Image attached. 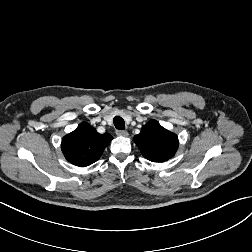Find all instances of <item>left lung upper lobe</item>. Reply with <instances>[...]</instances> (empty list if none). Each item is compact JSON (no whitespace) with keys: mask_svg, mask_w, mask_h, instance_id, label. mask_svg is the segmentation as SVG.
I'll return each instance as SVG.
<instances>
[{"mask_svg":"<svg viewBox=\"0 0 252 252\" xmlns=\"http://www.w3.org/2000/svg\"><path fill=\"white\" fill-rule=\"evenodd\" d=\"M134 141L142 155L153 162H164L173 157L179 144L176 134L163 128L156 120L145 124Z\"/></svg>","mask_w":252,"mask_h":252,"instance_id":"left-lung-upper-lobe-1","label":"left lung upper lobe"}]
</instances>
